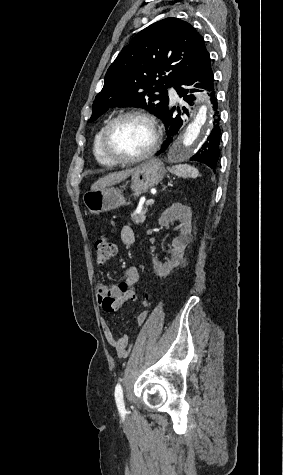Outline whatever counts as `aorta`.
I'll list each match as a JSON object with an SVG mask.
<instances>
[{
	"mask_svg": "<svg viewBox=\"0 0 283 475\" xmlns=\"http://www.w3.org/2000/svg\"><path fill=\"white\" fill-rule=\"evenodd\" d=\"M212 119V111L208 104H202L192 113L187 126L170 145L167 152L168 159H186L199 151L212 128Z\"/></svg>",
	"mask_w": 283,
	"mask_h": 475,
	"instance_id": "1",
	"label": "aorta"
}]
</instances>
